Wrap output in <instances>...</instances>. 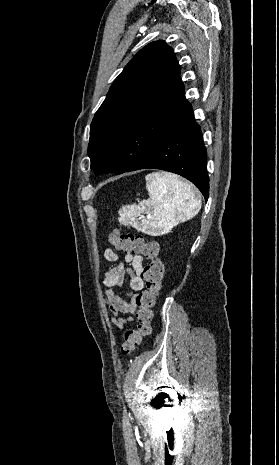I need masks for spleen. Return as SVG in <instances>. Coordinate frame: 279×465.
Instances as JSON below:
<instances>
[{"label":"spleen","instance_id":"3e777b00","mask_svg":"<svg viewBox=\"0 0 279 465\" xmlns=\"http://www.w3.org/2000/svg\"><path fill=\"white\" fill-rule=\"evenodd\" d=\"M146 188L149 199L138 205L122 206L118 211L120 224L148 234L169 232L180 222L196 216L201 209L197 189L175 174L150 173L146 176ZM143 214H147V219Z\"/></svg>","mask_w":279,"mask_h":465}]
</instances>
